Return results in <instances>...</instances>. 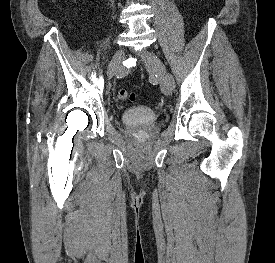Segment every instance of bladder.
<instances>
[{"mask_svg":"<svg viewBox=\"0 0 275 263\" xmlns=\"http://www.w3.org/2000/svg\"><path fill=\"white\" fill-rule=\"evenodd\" d=\"M120 118L124 124L145 127L154 124L158 114L146 106H133L125 109Z\"/></svg>","mask_w":275,"mask_h":263,"instance_id":"obj_1","label":"bladder"}]
</instances>
